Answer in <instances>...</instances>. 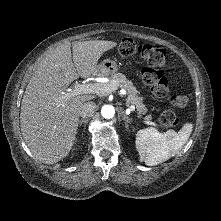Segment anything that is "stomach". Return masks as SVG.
Instances as JSON below:
<instances>
[{
  "mask_svg": "<svg viewBox=\"0 0 221 221\" xmlns=\"http://www.w3.org/2000/svg\"><path fill=\"white\" fill-rule=\"evenodd\" d=\"M118 71V64L110 59L103 60L97 68V75L108 76L113 75Z\"/></svg>",
  "mask_w": 221,
  "mask_h": 221,
  "instance_id": "stomach-1",
  "label": "stomach"
}]
</instances>
